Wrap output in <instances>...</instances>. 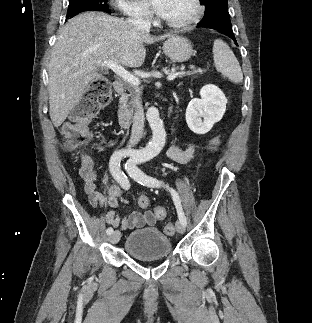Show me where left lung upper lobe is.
<instances>
[{"instance_id": "5c2ea615", "label": "left lung upper lobe", "mask_w": 312, "mask_h": 323, "mask_svg": "<svg viewBox=\"0 0 312 323\" xmlns=\"http://www.w3.org/2000/svg\"><path fill=\"white\" fill-rule=\"evenodd\" d=\"M201 4L206 7L203 19L199 23L200 26L213 28L220 23L231 25L230 15L228 13L227 0H200Z\"/></svg>"}]
</instances>
